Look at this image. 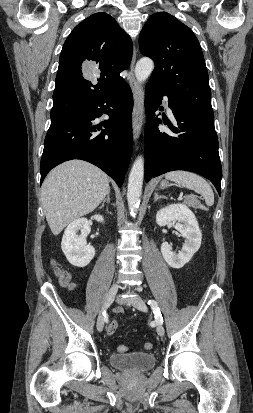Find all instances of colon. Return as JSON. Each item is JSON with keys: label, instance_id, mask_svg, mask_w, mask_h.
Instances as JSON below:
<instances>
[{"label": "colon", "instance_id": "colon-1", "mask_svg": "<svg viewBox=\"0 0 253 413\" xmlns=\"http://www.w3.org/2000/svg\"><path fill=\"white\" fill-rule=\"evenodd\" d=\"M56 275H57L60 283L63 284V285H67V284H69L70 281H71L70 274H69L68 272L64 271V270L56 269ZM118 325H119V323H118L117 320L111 321V322L109 323L108 327H107V332H108V334H109V335L114 334L115 331H116L117 328H118ZM144 349H145V350H150V349H152V344H151L150 342L144 343ZM118 351H119V352H125V351H127V347H126L125 345H120V346L118 347Z\"/></svg>", "mask_w": 253, "mask_h": 413}]
</instances>
